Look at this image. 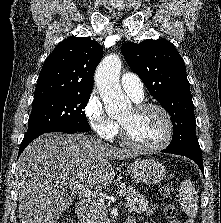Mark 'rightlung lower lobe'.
<instances>
[{"mask_svg": "<svg viewBox=\"0 0 221 223\" xmlns=\"http://www.w3.org/2000/svg\"><path fill=\"white\" fill-rule=\"evenodd\" d=\"M49 132H63L67 134H73L78 131L76 130H71V129H65V128H51V129H45V130H40L31 134H25L19 148V154L18 156L23 152V150L26 148V146L33 141L35 138L38 136L44 134V133H49Z\"/></svg>", "mask_w": 221, "mask_h": 223, "instance_id": "obj_1", "label": "right lung lower lobe"}]
</instances>
